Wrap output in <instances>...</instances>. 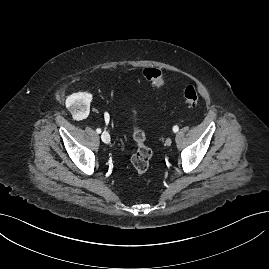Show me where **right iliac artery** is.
<instances>
[{"mask_svg":"<svg viewBox=\"0 0 269 269\" xmlns=\"http://www.w3.org/2000/svg\"><path fill=\"white\" fill-rule=\"evenodd\" d=\"M96 132H97L98 134H100V133H101V129H100V128H97V129H96Z\"/></svg>","mask_w":269,"mask_h":269,"instance_id":"right-iliac-artery-1","label":"right iliac artery"}]
</instances>
